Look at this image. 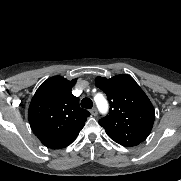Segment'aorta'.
<instances>
[{
	"instance_id": "obj_1",
	"label": "aorta",
	"mask_w": 181,
	"mask_h": 181,
	"mask_svg": "<svg viewBox=\"0 0 181 181\" xmlns=\"http://www.w3.org/2000/svg\"><path fill=\"white\" fill-rule=\"evenodd\" d=\"M95 102L101 113H106L108 110V103L102 94H97L95 96Z\"/></svg>"
}]
</instances>
